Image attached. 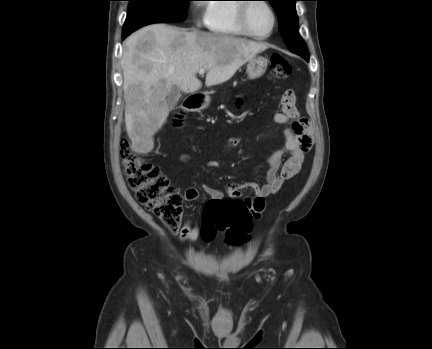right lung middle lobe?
Wrapping results in <instances>:
<instances>
[{
    "mask_svg": "<svg viewBox=\"0 0 432 349\" xmlns=\"http://www.w3.org/2000/svg\"><path fill=\"white\" fill-rule=\"evenodd\" d=\"M130 1L123 34L152 23L180 22L186 19L191 0H128Z\"/></svg>",
    "mask_w": 432,
    "mask_h": 349,
    "instance_id": "right-lung-middle-lobe-1",
    "label": "right lung middle lobe"
}]
</instances>
